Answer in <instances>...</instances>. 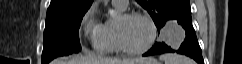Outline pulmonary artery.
Here are the masks:
<instances>
[{"label": "pulmonary artery", "instance_id": "e3ab8cb5", "mask_svg": "<svg viewBox=\"0 0 242 64\" xmlns=\"http://www.w3.org/2000/svg\"><path fill=\"white\" fill-rule=\"evenodd\" d=\"M112 3L121 10H125L128 7V0H113Z\"/></svg>", "mask_w": 242, "mask_h": 64}]
</instances>
